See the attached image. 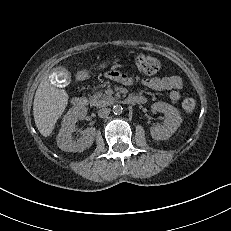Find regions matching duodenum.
I'll return each instance as SVG.
<instances>
[{"label": "duodenum", "instance_id": "1", "mask_svg": "<svg viewBox=\"0 0 231 231\" xmlns=\"http://www.w3.org/2000/svg\"><path fill=\"white\" fill-rule=\"evenodd\" d=\"M145 98L142 96H129L125 99L127 104H143ZM72 104L75 108H84L87 105V100L85 97L76 96L72 99Z\"/></svg>", "mask_w": 231, "mask_h": 231}]
</instances>
